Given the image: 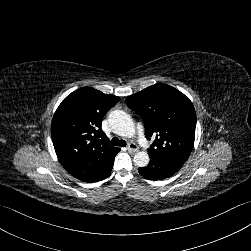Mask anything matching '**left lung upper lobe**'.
I'll use <instances>...</instances> for the list:
<instances>
[{
	"label": "left lung upper lobe",
	"mask_w": 251,
	"mask_h": 251,
	"mask_svg": "<svg viewBox=\"0 0 251 251\" xmlns=\"http://www.w3.org/2000/svg\"><path fill=\"white\" fill-rule=\"evenodd\" d=\"M126 103L145 124L146 138H154L148 154L184 164L195 140L196 114L180 91L157 83L128 96Z\"/></svg>",
	"instance_id": "left-lung-upper-lobe-1"
}]
</instances>
